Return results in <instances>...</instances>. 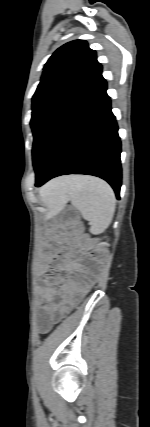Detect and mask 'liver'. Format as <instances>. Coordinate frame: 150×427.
<instances>
[{"label":"liver","instance_id":"1","mask_svg":"<svg viewBox=\"0 0 150 427\" xmlns=\"http://www.w3.org/2000/svg\"><path fill=\"white\" fill-rule=\"evenodd\" d=\"M62 179H63V178L58 179V180H55V181H53V182H51V183L61 181ZM51 183H49V184H48V185H47V186L42 190V192H41L42 196L44 195L45 191L47 190L48 186H49ZM45 202H46V204H47V205H50V203H48L47 201H45Z\"/></svg>","mask_w":150,"mask_h":427}]
</instances>
